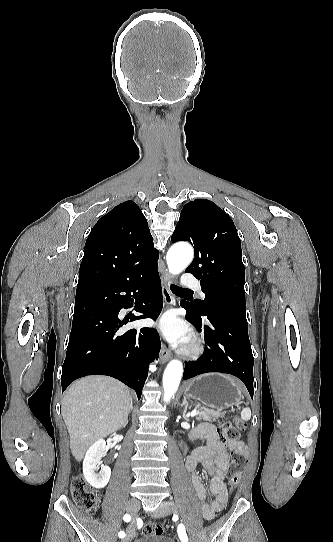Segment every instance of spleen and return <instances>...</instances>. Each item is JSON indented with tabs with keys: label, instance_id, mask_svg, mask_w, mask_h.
Listing matches in <instances>:
<instances>
[{
	"label": "spleen",
	"instance_id": "spleen-1",
	"mask_svg": "<svg viewBox=\"0 0 333 542\" xmlns=\"http://www.w3.org/2000/svg\"><path fill=\"white\" fill-rule=\"evenodd\" d=\"M241 420H244V422H248L251 418V410L250 408H243L241 414Z\"/></svg>",
	"mask_w": 333,
	"mask_h": 542
}]
</instances>
